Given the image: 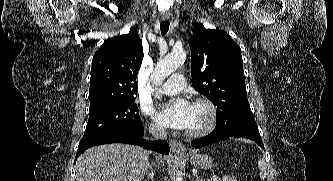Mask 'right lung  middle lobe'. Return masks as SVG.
Segmentation results:
<instances>
[{
    "mask_svg": "<svg viewBox=\"0 0 333 181\" xmlns=\"http://www.w3.org/2000/svg\"><path fill=\"white\" fill-rule=\"evenodd\" d=\"M134 101L135 98H128L89 108V120L82 140L141 128L143 125Z\"/></svg>",
    "mask_w": 333,
    "mask_h": 181,
    "instance_id": "right-lung-middle-lobe-1",
    "label": "right lung middle lobe"
}]
</instances>
